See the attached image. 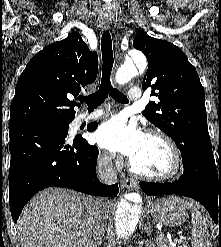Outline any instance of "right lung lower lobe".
I'll use <instances>...</instances> for the list:
<instances>
[{"label":"right lung lower lobe","mask_w":221,"mask_h":247,"mask_svg":"<svg viewBox=\"0 0 221 247\" xmlns=\"http://www.w3.org/2000/svg\"><path fill=\"white\" fill-rule=\"evenodd\" d=\"M9 135V203L15 223L28 200L47 187L102 197L118 194L117 184L106 185L97 179L99 151L86 139H68L67 133L49 126L18 125L9 128Z\"/></svg>","instance_id":"98d812e1"}]
</instances>
